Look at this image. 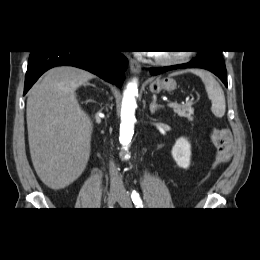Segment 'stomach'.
I'll list each match as a JSON object with an SVG mask.
<instances>
[{
  "label": "stomach",
  "mask_w": 260,
  "mask_h": 260,
  "mask_svg": "<svg viewBox=\"0 0 260 260\" xmlns=\"http://www.w3.org/2000/svg\"><path fill=\"white\" fill-rule=\"evenodd\" d=\"M176 89V82L173 79H156L151 82L150 90L153 93H159L160 91H173Z\"/></svg>",
  "instance_id": "obj_1"
}]
</instances>
